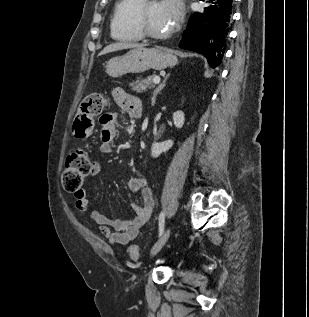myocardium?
<instances>
[{
    "label": "myocardium",
    "mask_w": 309,
    "mask_h": 317,
    "mask_svg": "<svg viewBox=\"0 0 309 317\" xmlns=\"http://www.w3.org/2000/svg\"><path fill=\"white\" fill-rule=\"evenodd\" d=\"M150 3L151 2H144L139 7V10L137 13V25H138L140 32L142 33V35L144 37L156 39V40L166 39V38L170 37L174 33L175 28H172L171 30H169L166 33L159 34V33H155L153 31H151L149 29V27L147 26L146 11H147V7Z\"/></svg>",
    "instance_id": "1"
}]
</instances>
